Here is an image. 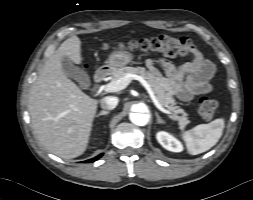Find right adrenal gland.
Returning a JSON list of instances; mask_svg holds the SVG:
<instances>
[{"instance_id": "obj_1", "label": "right adrenal gland", "mask_w": 253, "mask_h": 200, "mask_svg": "<svg viewBox=\"0 0 253 200\" xmlns=\"http://www.w3.org/2000/svg\"><path fill=\"white\" fill-rule=\"evenodd\" d=\"M107 114H109V111L102 110V111H100V113H98L96 116L99 117V116L107 115Z\"/></svg>"}]
</instances>
